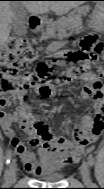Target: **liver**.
<instances>
[{
    "label": "liver",
    "instance_id": "1",
    "mask_svg": "<svg viewBox=\"0 0 104 189\" xmlns=\"http://www.w3.org/2000/svg\"><path fill=\"white\" fill-rule=\"evenodd\" d=\"M81 1H24L23 6L33 15L43 14L51 9L57 15L67 13L70 9L81 5ZM10 1L0 3V43L4 45L9 37L10 24L14 14Z\"/></svg>",
    "mask_w": 104,
    "mask_h": 189
}]
</instances>
